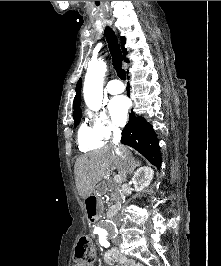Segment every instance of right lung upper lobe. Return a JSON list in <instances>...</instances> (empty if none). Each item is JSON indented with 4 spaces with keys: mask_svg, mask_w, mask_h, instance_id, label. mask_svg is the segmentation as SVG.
<instances>
[{
    "mask_svg": "<svg viewBox=\"0 0 221 266\" xmlns=\"http://www.w3.org/2000/svg\"><path fill=\"white\" fill-rule=\"evenodd\" d=\"M124 43H125V37H121V45H122V51L124 53V60L125 62H129V60L127 58H125V55L127 54L126 49L124 48ZM81 79H79V81L77 82L76 85V96L74 98V115H79L81 114V109H80V105H81ZM73 115V116H74Z\"/></svg>",
    "mask_w": 221,
    "mask_h": 266,
    "instance_id": "cb5924a9",
    "label": "right lung upper lobe"
}]
</instances>
